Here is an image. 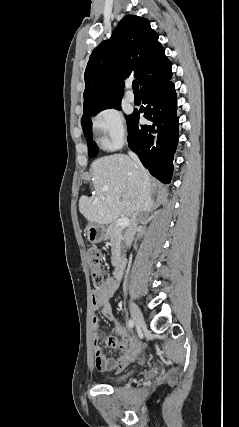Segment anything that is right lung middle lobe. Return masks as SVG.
Listing matches in <instances>:
<instances>
[{
  "instance_id": "1",
  "label": "right lung middle lobe",
  "mask_w": 239,
  "mask_h": 427,
  "mask_svg": "<svg viewBox=\"0 0 239 427\" xmlns=\"http://www.w3.org/2000/svg\"><path fill=\"white\" fill-rule=\"evenodd\" d=\"M107 108H116L121 109L120 102H115L111 104H107L101 107H97L92 109L90 112H88L86 115L82 117V128L85 133V136L87 137L88 142V156L93 158L98 154V147L96 143L92 139V121L91 117L92 115H96L101 110L107 109ZM129 119V116L127 117V120Z\"/></svg>"
}]
</instances>
